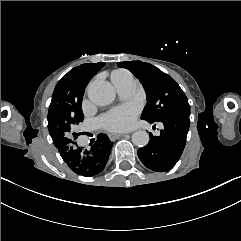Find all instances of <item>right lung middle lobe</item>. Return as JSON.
<instances>
[{
    "instance_id": "obj_1",
    "label": "right lung middle lobe",
    "mask_w": 241,
    "mask_h": 241,
    "mask_svg": "<svg viewBox=\"0 0 241 241\" xmlns=\"http://www.w3.org/2000/svg\"><path fill=\"white\" fill-rule=\"evenodd\" d=\"M105 63H87L70 70L57 83L48 111V130L58 148L75 144L81 133L75 130L83 121L82 98L90 79Z\"/></svg>"
}]
</instances>
